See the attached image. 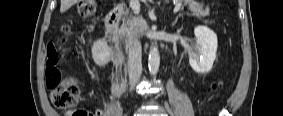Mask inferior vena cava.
I'll use <instances>...</instances> for the list:
<instances>
[{
	"mask_svg": "<svg viewBox=\"0 0 283 116\" xmlns=\"http://www.w3.org/2000/svg\"><path fill=\"white\" fill-rule=\"evenodd\" d=\"M129 59H128V72L129 80L132 85H136L142 73V49L140 41L132 35L128 38Z\"/></svg>",
	"mask_w": 283,
	"mask_h": 116,
	"instance_id": "obj_1",
	"label": "inferior vena cava"
}]
</instances>
